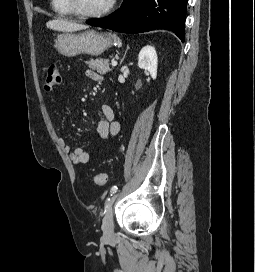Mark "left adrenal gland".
Returning a JSON list of instances; mask_svg holds the SVG:
<instances>
[{"label":"left adrenal gland","instance_id":"left-adrenal-gland-1","mask_svg":"<svg viewBox=\"0 0 255 272\" xmlns=\"http://www.w3.org/2000/svg\"><path fill=\"white\" fill-rule=\"evenodd\" d=\"M128 50H129V46L127 45V49H126V51H125V53H124V55H123V58H122L121 61H120V65L122 64V62H123V60H124V58H125L126 53H127Z\"/></svg>","mask_w":255,"mask_h":272}]
</instances>
